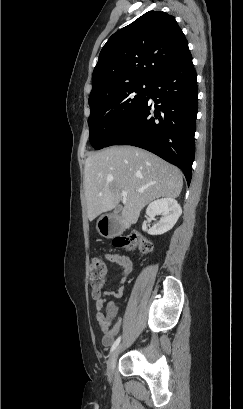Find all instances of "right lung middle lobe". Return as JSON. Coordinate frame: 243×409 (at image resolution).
<instances>
[{
    "label": "right lung middle lobe",
    "instance_id": "obj_1",
    "mask_svg": "<svg viewBox=\"0 0 243 409\" xmlns=\"http://www.w3.org/2000/svg\"><path fill=\"white\" fill-rule=\"evenodd\" d=\"M151 84L131 83L90 103L89 141L96 149L110 140L144 103Z\"/></svg>",
    "mask_w": 243,
    "mask_h": 409
}]
</instances>
